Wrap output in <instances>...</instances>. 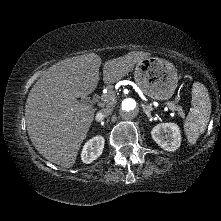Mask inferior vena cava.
Returning a JSON list of instances; mask_svg holds the SVG:
<instances>
[{
    "instance_id": "602c4592",
    "label": "inferior vena cava",
    "mask_w": 221,
    "mask_h": 221,
    "mask_svg": "<svg viewBox=\"0 0 221 221\" xmlns=\"http://www.w3.org/2000/svg\"><path fill=\"white\" fill-rule=\"evenodd\" d=\"M112 110H113V107H111V106H107L106 108H103L99 113H97L96 120L100 121L104 117L109 116L111 114Z\"/></svg>"
}]
</instances>
